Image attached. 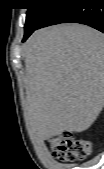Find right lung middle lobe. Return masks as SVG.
I'll return each instance as SVG.
<instances>
[{"label": "right lung middle lobe", "instance_id": "dd1d6c3e", "mask_svg": "<svg viewBox=\"0 0 104 169\" xmlns=\"http://www.w3.org/2000/svg\"><path fill=\"white\" fill-rule=\"evenodd\" d=\"M27 4L25 35L38 28L57 6L55 0H28Z\"/></svg>", "mask_w": 104, "mask_h": 169}]
</instances>
